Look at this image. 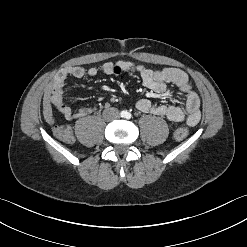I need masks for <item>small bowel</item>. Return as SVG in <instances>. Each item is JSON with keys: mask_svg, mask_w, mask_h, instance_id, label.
<instances>
[{"mask_svg": "<svg viewBox=\"0 0 247 247\" xmlns=\"http://www.w3.org/2000/svg\"><path fill=\"white\" fill-rule=\"evenodd\" d=\"M100 73L116 76H121L125 73H138L144 86L159 94L167 92L169 84H173L185 95L184 106L154 104L150 100L142 98L136 103V108L141 112H150L163 116L171 122L184 123L190 127L195 126L200 120L199 97L192 89L188 76L183 70L178 68L155 70L129 61L106 62L99 68L85 69L81 66H73L63 69L54 77L51 84L50 101L53 107L67 120H74L94 113V107H82L78 111H73L64 103L63 88L69 76L74 78L94 77Z\"/></svg>", "mask_w": 247, "mask_h": 247, "instance_id": "c3829d8e", "label": "small bowel"}]
</instances>
